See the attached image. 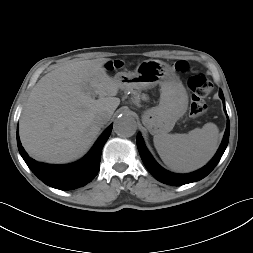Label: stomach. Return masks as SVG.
Segmentation results:
<instances>
[{
	"instance_id": "1",
	"label": "stomach",
	"mask_w": 253,
	"mask_h": 253,
	"mask_svg": "<svg viewBox=\"0 0 253 253\" xmlns=\"http://www.w3.org/2000/svg\"><path fill=\"white\" fill-rule=\"evenodd\" d=\"M122 90H146L161 86L159 105L146 110L142 122L151 134L170 132L187 111L188 95L174 69L160 60H145L134 72H119L113 78Z\"/></svg>"
}]
</instances>
